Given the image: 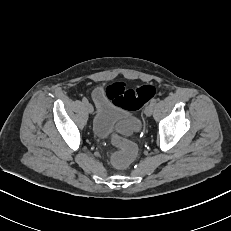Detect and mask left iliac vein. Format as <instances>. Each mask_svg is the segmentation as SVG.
I'll use <instances>...</instances> for the list:
<instances>
[{"mask_svg": "<svg viewBox=\"0 0 231 231\" xmlns=\"http://www.w3.org/2000/svg\"><path fill=\"white\" fill-rule=\"evenodd\" d=\"M154 110V104L150 103L149 105L146 106L145 108V114L146 116H151Z\"/></svg>", "mask_w": 231, "mask_h": 231, "instance_id": "obj_1", "label": "left iliac vein"}]
</instances>
